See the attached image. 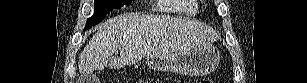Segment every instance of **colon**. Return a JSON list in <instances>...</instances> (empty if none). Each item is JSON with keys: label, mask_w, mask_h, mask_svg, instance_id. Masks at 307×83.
Wrapping results in <instances>:
<instances>
[{"label": "colon", "mask_w": 307, "mask_h": 83, "mask_svg": "<svg viewBox=\"0 0 307 83\" xmlns=\"http://www.w3.org/2000/svg\"><path fill=\"white\" fill-rule=\"evenodd\" d=\"M152 83H156V81H151ZM201 83H212L213 81L210 78H204L200 81Z\"/></svg>", "instance_id": "obj_1"}]
</instances>
